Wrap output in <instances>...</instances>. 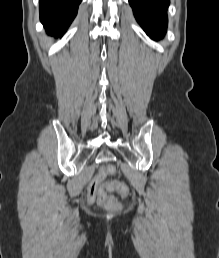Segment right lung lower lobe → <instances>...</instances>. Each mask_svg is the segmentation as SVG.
<instances>
[{"instance_id": "right-lung-lower-lobe-1", "label": "right lung lower lobe", "mask_w": 219, "mask_h": 258, "mask_svg": "<svg viewBox=\"0 0 219 258\" xmlns=\"http://www.w3.org/2000/svg\"><path fill=\"white\" fill-rule=\"evenodd\" d=\"M82 0H39L40 20L49 35L61 36L74 17Z\"/></svg>"}]
</instances>
